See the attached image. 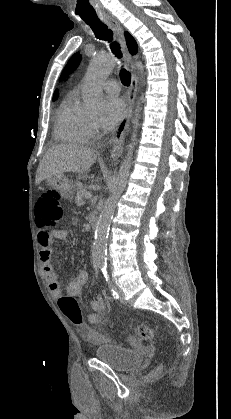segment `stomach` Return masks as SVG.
Masks as SVG:
<instances>
[{
  "instance_id": "1",
  "label": "stomach",
  "mask_w": 231,
  "mask_h": 419,
  "mask_svg": "<svg viewBox=\"0 0 231 419\" xmlns=\"http://www.w3.org/2000/svg\"><path fill=\"white\" fill-rule=\"evenodd\" d=\"M47 185L55 189L61 196L71 200L74 196L75 186L64 174H59L46 179Z\"/></svg>"
}]
</instances>
